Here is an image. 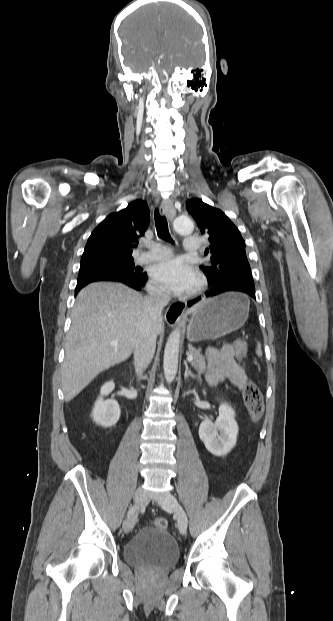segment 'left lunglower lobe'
<instances>
[{
    "instance_id": "left-lung-lower-lobe-1",
    "label": "left lung lower lobe",
    "mask_w": 333,
    "mask_h": 621,
    "mask_svg": "<svg viewBox=\"0 0 333 621\" xmlns=\"http://www.w3.org/2000/svg\"><path fill=\"white\" fill-rule=\"evenodd\" d=\"M227 291L243 292V293L250 295L254 299L256 298L255 297V286H254L253 280L239 279V278H231V279L224 281L223 283L213 286V288L210 291L206 292V297H213V296L219 295ZM199 300H201V297L197 298L196 300H192L188 302V306L189 307L192 306Z\"/></svg>"
}]
</instances>
